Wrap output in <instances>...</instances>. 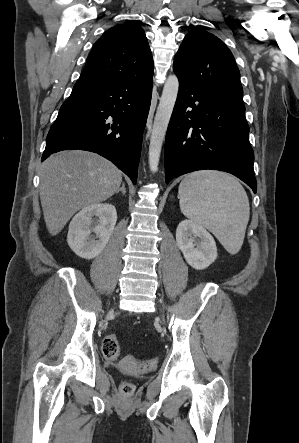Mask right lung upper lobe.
Masks as SVG:
<instances>
[{
    "label": "right lung upper lobe",
    "mask_w": 299,
    "mask_h": 443,
    "mask_svg": "<svg viewBox=\"0 0 299 443\" xmlns=\"http://www.w3.org/2000/svg\"><path fill=\"white\" fill-rule=\"evenodd\" d=\"M153 74V57L143 29L116 25L94 44L77 84L96 85Z\"/></svg>",
    "instance_id": "obj_1"
}]
</instances>
